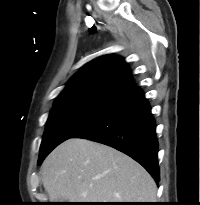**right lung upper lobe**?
Wrapping results in <instances>:
<instances>
[{
    "label": "right lung upper lobe",
    "instance_id": "cb5924a9",
    "mask_svg": "<svg viewBox=\"0 0 200 205\" xmlns=\"http://www.w3.org/2000/svg\"><path fill=\"white\" fill-rule=\"evenodd\" d=\"M134 87L130 69L124 59L105 55L87 63L75 74L55 103L80 98L116 101Z\"/></svg>",
    "mask_w": 200,
    "mask_h": 205
}]
</instances>
